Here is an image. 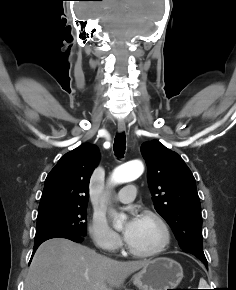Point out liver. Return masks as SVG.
<instances>
[{
    "label": "liver",
    "mask_w": 236,
    "mask_h": 290,
    "mask_svg": "<svg viewBox=\"0 0 236 290\" xmlns=\"http://www.w3.org/2000/svg\"><path fill=\"white\" fill-rule=\"evenodd\" d=\"M149 261H116L64 238L37 249L24 290H113Z\"/></svg>",
    "instance_id": "liver-1"
}]
</instances>
